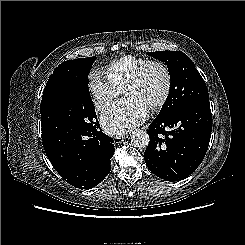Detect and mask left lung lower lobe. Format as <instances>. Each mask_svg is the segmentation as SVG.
Here are the masks:
<instances>
[{
	"mask_svg": "<svg viewBox=\"0 0 245 245\" xmlns=\"http://www.w3.org/2000/svg\"><path fill=\"white\" fill-rule=\"evenodd\" d=\"M211 130L209 100L194 101L170 118H155L147 130L150 142L144 159L148 169L167 181L188 177L207 152Z\"/></svg>",
	"mask_w": 245,
	"mask_h": 245,
	"instance_id": "obj_1",
	"label": "left lung lower lobe"
}]
</instances>
